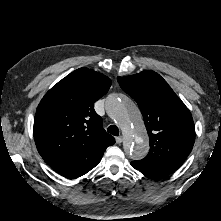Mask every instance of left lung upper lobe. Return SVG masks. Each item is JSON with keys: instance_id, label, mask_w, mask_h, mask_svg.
Wrapping results in <instances>:
<instances>
[{"instance_id": "1", "label": "left lung upper lobe", "mask_w": 221, "mask_h": 221, "mask_svg": "<svg viewBox=\"0 0 221 221\" xmlns=\"http://www.w3.org/2000/svg\"><path fill=\"white\" fill-rule=\"evenodd\" d=\"M117 81L137 102L150 138L148 155L133 163L145 171L172 173L186 160L195 141L190 111L167 82L151 70L117 77Z\"/></svg>"}]
</instances>
